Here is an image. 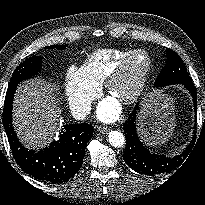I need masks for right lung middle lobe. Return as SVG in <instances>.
Listing matches in <instances>:
<instances>
[{
  "label": "right lung middle lobe",
  "mask_w": 205,
  "mask_h": 205,
  "mask_svg": "<svg viewBox=\"0 0 205 205\" xmlns=\"http://www.w3.org/2000/svg\"><path fill=\"white\" fill-rule=\"evenodd\" d=\"M66 47L67 45H54V46H47L46 48H49V49L56 48V49L62 50ZM41 67H42V57L41 56H34V57L27 59L15 69L14 74L10 81L9 87L17 85L20 81L37 75Z\"/></svg>",
  "instance_id": "right-lung-middle-lobe-1"
}]
</instances>
